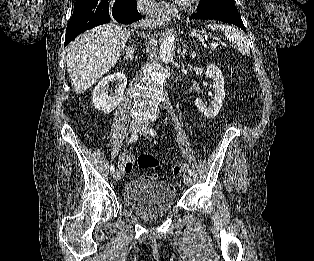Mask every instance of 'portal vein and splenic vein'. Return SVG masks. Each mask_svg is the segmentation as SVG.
<instances>
[{
  "label": "portal vein and splenic vein",
  "instance_id": "obj_1",
  "mask_svg": "<svg viewBox=\"0 0 314 261\" xmlns=\"http://www.w3.org/2000/svg\"><path fill=\"white\" fill-rule=\"evenodd\" d=\"M221 43H222V42H221ZM222 44H223V43H222ZM211 47H212V48H216V47H217V43H216V42H212Z\"/></svg>",
  "mask_w": 314,
  "mask_h": 261
}]
</instances>
